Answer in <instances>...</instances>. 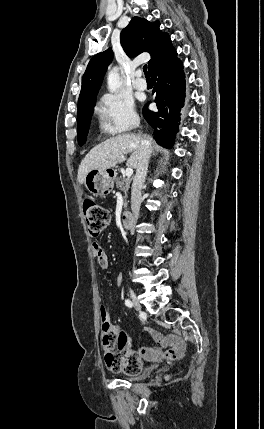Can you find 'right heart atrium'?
<instances>
[{"label":"right heart atrium","instance_id":"1","mask_svg":"<svg viewBox=\"0 0 264 429\" xmlns=\"http://www.w3.org/2000/svg\"><path fill=\"white\" fill-rule=\"evenodd\" d=\"M103 130L108 134H121L135 128L139 122L133 101L121 94L108 93L96 105Z\"/></svg>","mask_w":264,"mask_h":429}]
</instances>
